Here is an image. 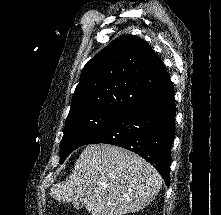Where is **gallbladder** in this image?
I'll use <instances>...</instances> for the list:
<instances>
[{"instance_id":"obj_1","label":"gallbladder","mask_w":221,"mask_h":215,"mask_svg":"<svg viewBox=\"0 0 221 215\" xmlns=\"http://www.w3.org/2000/svg\"><path fill=\"white\" fill-rule=\"evenodd\" d=\"M73 206L75 209L79 210L84 206V200L83 198H80L78 201L73 202Z\"/></svg>"}]
</instances>
